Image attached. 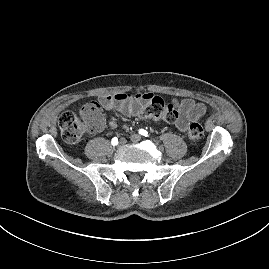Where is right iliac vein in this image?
I'll return each instance as SVG.
<instances>
[{
	"label": "right iliac vein",
	"mask_w": 269,
	"mask_h": 269,
	"mask_svg": "<svg viewBox=\"0 0 269 269\" xmlns=\"http://www.w3.org/2000/svg\"><path fill=\"white\" fill-rule=\"evenodd\" d=\"M126 144V140L125 139H121L120 141H118L117 143H116V146L118 147V148H121L122 146H124Z\"/></svg>",
	"instance_id": "1"
}]
</instances>
